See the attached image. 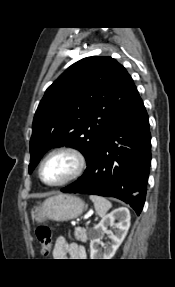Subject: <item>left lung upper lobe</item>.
<instances>
[{
    "label": "left lung upper lobe",
    "mask_w": 175,
    "mask_h": 287,
    "mask_svg": "<svg viewBox=\"0 0 175 287\" xmlns=\"http://www.w3.org/2000/svg\"><path fill=\"white\" fill-rule=\"evenodd\" d=\"M138 98L131 76L111 57L71 65L48 87L35 113L29 173L50 148L69 146L85 156V174L102 139Z\"/></svg>",
    "instance_id": "1"
}]
</instances>
